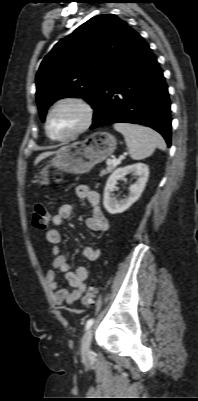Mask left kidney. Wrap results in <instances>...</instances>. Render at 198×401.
<instances>
[{
	"label": "left kidney",
	"instance_id": "left-kidney-1",
	"mask_svg": "<svg viewBox=\"0 0 198 401\" xmlns=\"http://www.w3.org/2000/svg\"><path fill=\"white\" fill-rule=\"evenodd\" d=\"M127 174L137 177V181L129 188V196L124 200H117L114 195V188L117 181ZM149 176V168L143 163L128 165L116 169L106 182L104 189L103 205L110 214H118L126 211L141 196Z\"/></svg>",
	"mask_w": 198,
	"mask_h": 401
}]
</instances>
